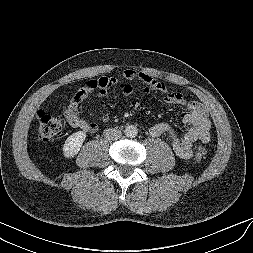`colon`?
Masks as SVG:
<instances>
[{"mask_svg":"<svg viewBox=\"0 0 253 253\" xmlns=\"http://www.w3.org/2000/svg\"><path fill=\"white\" fill-rule=\"evenodd\" d=\"M38 119V137L41 141L46 142L55 137L60 136L65 128L66 121L63 117L52 115L44 110H40L37 114ZM207 155V150L199 147L195 153V159L202 161Z\"/></svg>","mask_w":253,"mask_h":253,"instance_id":"obj_1","label":"colon"}]
</instances>
